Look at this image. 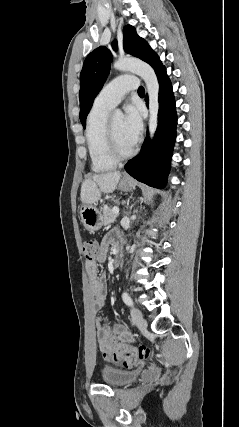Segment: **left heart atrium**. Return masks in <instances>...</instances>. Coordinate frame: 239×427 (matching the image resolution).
Wrapping results in <instances>:
<instances>
[{
  "label": "left heart atrium",
  "instance_id": "left-heart-atrium-1",
  "mask_svg": "<svg viewBox=\"0 0 239 427\" xmlns=\"http://www.w3.org/2000/svg\"><path fill=\"white\" fill-rule=\"evenodd\" d=\"M123 130L128 140L135 145L142 130L140 110L134 105H129L123 118Z\"/></svg>",
  "mask_w": 239,
  "mask_h": 427
}]
</instances>
